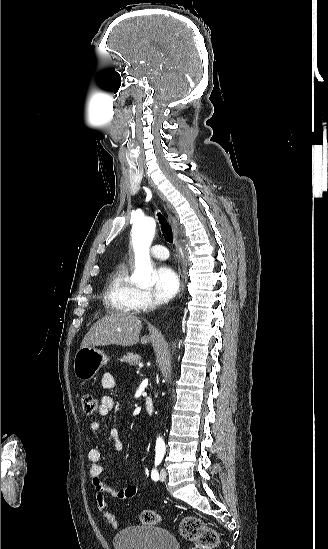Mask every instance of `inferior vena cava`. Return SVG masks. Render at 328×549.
I'll return each mask as SVG.
<instances>
[{
    "instance_id": "1",
    "label": "inferior vena cava",
    "mask_w": 328,
    "mask_h": 549,
    "mask_svg": "<svg viewBox=\"0 0 328 549\" xmlns=\"http://www.w3.org/2000/svg\"><path fill=\"white\" fill-rule=\"evenodd\" d=\"M158 305H161L160 301H157V299L155 301V299H154L153 303H150V305H148L149 311H155V309H156V307H158Z\"/></svg>"
}]
</instances>
